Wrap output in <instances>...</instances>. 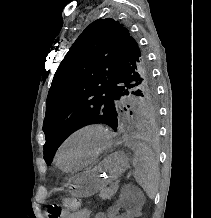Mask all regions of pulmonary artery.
<instances>
[{
  "label": "pulmonary artery",
  "mask_w": 211,
  "mask_h": 218,
  "mask_svg": "<svg viewBox=\"0 0 211 218\" xmlns=\"http://www.w3.org/2000/svg\"><path fill=\"white\" fill-rule=\"evenodd\" d=\"M110 94H111V95H118V94H119V91H118V90H111V91H110Z\"/></svg>",
  "instance_id": "obj_1"
}]
</instances>
